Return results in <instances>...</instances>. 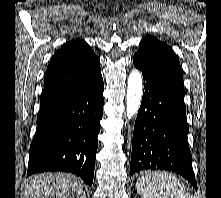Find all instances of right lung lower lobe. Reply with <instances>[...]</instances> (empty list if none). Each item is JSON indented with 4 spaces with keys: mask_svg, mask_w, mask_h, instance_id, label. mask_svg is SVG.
<instances>
[{
    "mask_svg": "<svg viewBox=\"0 0 221 198\" xmlns=\"http://www.w3.org/2000/svg\"><path fill=\"white\" fill-rule=\"evenodd\" d=\"M103 91L100 71L81 86L40 105L27 175L72 172L92 185Z\"/></svg>",
    "mask_w": 221,
    "mask_h": 198,
    "instance_id": "right-lung-lower-lobe-1",
    "label": "right lung lower lobe"
}]
</instances>
